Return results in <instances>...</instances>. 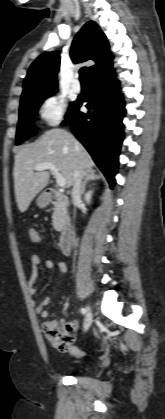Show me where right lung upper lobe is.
Masks as SVG:
<instances>
[{
  "label": "right lung upper lobe",
  "mask_w": 165,
  "mask_h": 419,
  "mask_svg": "<svg viewBox=\"0 0 165 419\" xmlns=\"http://www.w3.org/2000/svg\"><path fill=\"white\" fill-rule=\"evenodd\" d=\"M70 57L74 63L89 59L95 61L96 64L88 69L89 79L112 68L113 55L109 51L106 36L93 21L87 22L75 36L70 49ZM59 65V52H46L40 55L28 70L21 101L37 94L56 90Z\"/></svg>",
  "instance_id": "1"
}]
</instances>
